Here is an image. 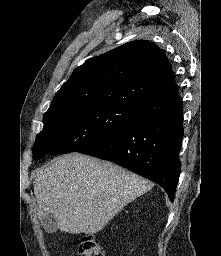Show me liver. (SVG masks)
<instances>
[{
  "label": "liver",
  "mask_w": 221,
  "mask_h": 256,
  "mask_svg": "<svg viewBox=\"0 0 221 256\" xmlns=\"http://www.w3.org/2000/svg\"><path fill=\"white\" fill-rule=\"evenodd\" d=\"M152 186L114 163L72 153L37 171L34 194L39 217L51 214L60 231L93 235Z\"/></svg>",
  "instance_id": "obj_1"
}]
</instances>
